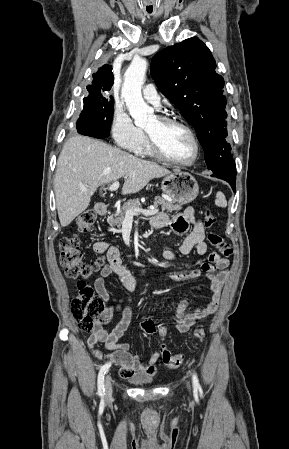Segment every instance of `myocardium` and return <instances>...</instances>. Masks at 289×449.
Wrapping results in <instances>:
<instances>
[{
    "instance_id": "myocardium-1",
    "label": "myocardium",
    "mask_w": 289,
    "mask_h": 449,
    "mask_svg": "<svg viewBox=\"0 0 289 449\" xmlns=\"http://www.w3.org/2000/svg\"><path fill=\"white\" fill-rule=\"evenodd\" d=\"M157 119L163 125H176V126L183 128L190 136V138L193 142V145H194L195 152H194L193 158L188 161H180V160L173 159L164 153V151L161 149L157 139L151 133H149L148 131H145L146 139H147V143H148L150 152L157 158H159L165 162H168V163H172V164H176V165H180V166H191V165L195 164L200 157L201 148H200L199 140H198L197 135L194 132V130L187 123H185L184 121H182L176 117H172L169 115H159L157 117Z\"/></svg>"
}]
</instances>
